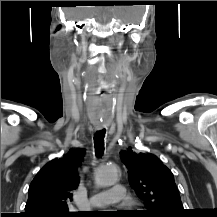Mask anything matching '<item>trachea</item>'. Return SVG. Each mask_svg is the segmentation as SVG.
I'll list each match as a JSON object with an SVG mask.
<instances>
[{
  "instance_id": "trachea-1",
  "label": "trachea",
  "mask_w": 217,
  "mask_h": 217,
  "mask_svg": "<svg viewBox=\"0 0 217 217\" xmlns=\"http://www.w3.org/2000/svg\"><path fill=\"white\" fill-rule=\"evenodd\" d=\"M106 130L102 129L95 133L94 135V147H95V154L97 157H101L104 153V137H105Z\"/></svg>"
}]
</instances>
